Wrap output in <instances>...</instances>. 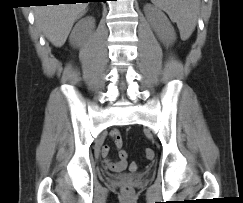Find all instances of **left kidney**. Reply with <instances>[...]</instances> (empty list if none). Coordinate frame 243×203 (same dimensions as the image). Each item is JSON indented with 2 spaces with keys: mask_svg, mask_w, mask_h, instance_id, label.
<instances>
[{
  "mask_svg": "<svg viewBox=\"0 0 243 203\" xmlns=\"http://www.w3.org/2000/svg\"><path fill=\"white\" fill-rule=\"evenodd\" d=\"M145 15L151 27L163 42L169 44L176 39L174 29L163 12L147 5L145 7Z\"/></svg>",
  "mask_w": 243,
  "mask_h": 203,
  "instance_id": "5707ae66",
  "label": "left kidney"
}]
</instances>
